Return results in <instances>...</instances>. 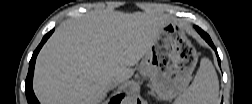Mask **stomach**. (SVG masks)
Instances as JSON below:
<instances>
[{"label": "stomach", "instance_id": "0dacf381", "mask_svg": "<svg viewBox=\"0 0 252 104\" xmlns=\"http://www.w3.org/2000/svg\"><path fill=\"white\" fill-rule=\"evenodd\" d=\"M198 53L184 30L168 21L140 65L159 98L170 100L184 92L192 78Z\"/></svg>", "mask_w": 252, "mask_h": 104}]
</instances>
